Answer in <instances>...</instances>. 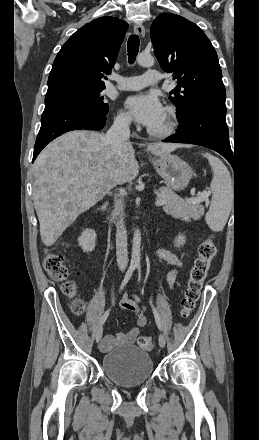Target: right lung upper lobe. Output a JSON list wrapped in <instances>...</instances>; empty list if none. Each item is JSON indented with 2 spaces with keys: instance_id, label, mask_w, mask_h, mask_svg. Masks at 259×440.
<instances>
[{
  "instance_id": "1",
  "label": "right lung upper lobe",
  "mask_w": 259,
  "mask_h": 440,
  "mask_svg": "<svg viewBox=\"0 0 259 440\" xmlns=\"http://www.w3.org/2000/svg\"><path fill=\"white\" fill-rule=\"evenodd\" d=\"M127 29L123 20L100 17L76 31L53 62L47 94L75 87L105 88L104 74L111 73Z\"/></svg>"
}]
</instances>
